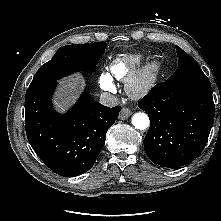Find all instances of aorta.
<instances>
[{"label":"aorta","mask_w":221,"mask_h":221,"mask_svg":"<svg viewBox=\"0 0 221 221\" xmlns=\"http://www.w3.org/2000/svg\"><path fill=\"white\" fill-rule=\"evenodd\" d=\"M132 124L136 129L145 130L149 127L150 121L147 114L138 112L133 115Z\"/></svg>","instance_id":"obj_1"}]
</instances>
